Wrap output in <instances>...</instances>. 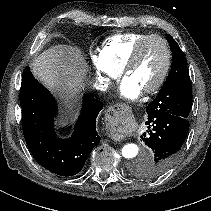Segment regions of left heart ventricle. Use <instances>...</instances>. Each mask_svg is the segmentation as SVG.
<instances>
[{"label": "left heart ventricle", "mask_w": 211, "mask_h": 211, "mask_svg": "<svg viewBox=\"0 0 211 211\" xmlns=\"http://www.w3.org/2000/svg\"><path fill=\"white\" fill-rule=\"evenodd\" d=\"M165 64V51L158 40H151L143 47L135 65L127 73L142 91L153 86Z\"/></svg>", "instance_id": "1"}]
</instances>
